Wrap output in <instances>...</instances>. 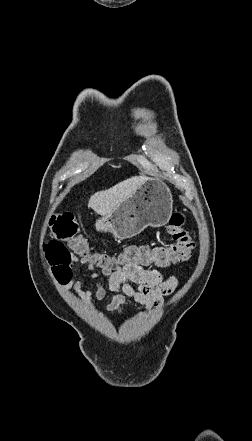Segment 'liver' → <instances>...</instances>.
Wrapping results in <instances>:
<instances>
[{
    "label": "liver",
    "instance_id": "6515ba94",
    "mask_svg": "<svg viewBox=\"0 0 252 441\" xmlns=\"http://www.w3.org/2000/svg\"><path fill=\"white\" fill-rule=\"evenodd\" d=\"M147 180H149L148 177L135 176L107 190L96 192L90 197L88 207L101 216L111 214L121 202L129 198Z\"/></svg>",
    "mask_w": 252,
    "mask_h": 441
}]
</instances>
